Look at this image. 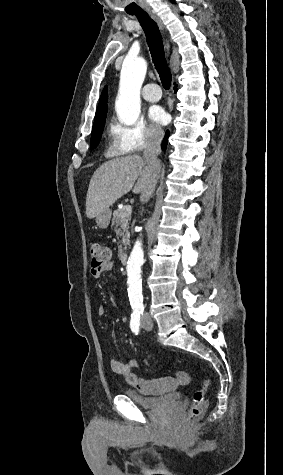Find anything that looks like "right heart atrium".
<instances>
[{"label":"right heart atrium","mask_w":283,"mask_h":475,"mask_svg":"<svg viewBox=\"0 0 283 475\" xmlns=\"http://www.w3.org/2000/svg\"><path fill=\"white\" fill-rule=\"evenodd\" d=\"M162 141V132L143 120L132 125L114 120L106 152L117 159L119 155H143L160 148Z\"/></svg>","instance_id":"1"}]
</instances>
